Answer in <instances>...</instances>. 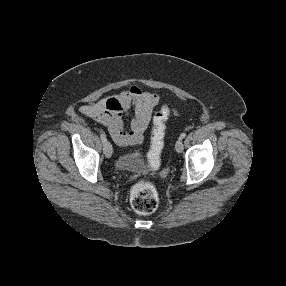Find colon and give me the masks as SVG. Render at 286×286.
I'll return each mask as SVG.
<instances>
[{
  "label": "colon",
  "instance_id": "5ec220e1",
  "mask_svg": "<svg viewBox=\"0 0 286 286\" xmlns=\"http://www.w3.org/2000/svg\"><path fill=\"white\" fill-rule=\"evenodd\" d=\"M174 112L170 105H163L153 118L151 144L148 151V159L152 168L160 164L161 154L164 147L166 122ZM131 207L139 214H150L156 210L159 196L156 187L149 180H139L130 192Z\"/></svg>",
  "mask_w": 286,
  "mask_h": 286
}]
</instances>
